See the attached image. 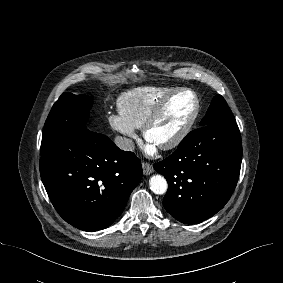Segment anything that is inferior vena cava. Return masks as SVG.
Wrapping results in <instances>:
<instances>
[{"label": "inferior vena cava", "mask_w": 283, "mask_h": 283, "mask_svg": "<svg viewBox=\"0 0 283 283\" xmlns=\"http://www.w3.org/2000/svg\"><path fill=\"white\" fill-rule=\"evenodd\" d=\"M114 143L119 147L121 150L124 151H133L135 146L132 139L125 138L122 136H116Z\"/></svg>", "instance_id": "1"}]
</instances>
